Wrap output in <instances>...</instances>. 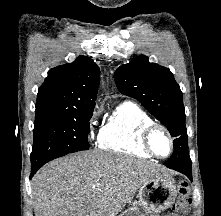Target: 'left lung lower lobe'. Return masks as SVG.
Here are the masks:
<instances>
[{
    "label": "left lung lower lobe",
    "instance_id": "0a47b994",
    "mask_svg": "<svg viewBox=\"0 0 221 216\" xmlns=\"http://www.w3.org/2000/svg\"><path fill=\"white\" fill-rule=\"evenodd\" d=\"M164 165L170 169H174L180 173L185 174L192 180L191 159L188 151L181 149H174L172 156Z\"/></svg>",
    "mask_w": 221,
    "mask_h": 216
}]
</instances>
